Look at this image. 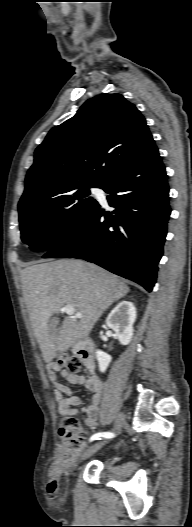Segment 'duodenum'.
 <instances>
[{"label":"duodenum","mask_w":192,"mask_h":527,"mask_svg":"<svg viewBox=\"0 0 192 527\" xmlns=\"http://www.w3.org/2000/svg\"><path fill=\"white\" fill-rule=\"evenodd\" d=\"M75 350L86 366L92 370L94 368V343L90 339H83L76 345Z\"/></svg>","instance_id":"obj_1"}]
</instances>
